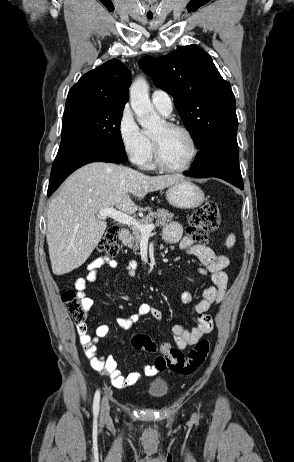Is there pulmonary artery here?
<instances>
[{
  "label": "pulmonary artery",
  "instance_id": "e3ab8cb5",
  "mask_svg": "<svg viewBox=\"0 0 294 462\" xmlns=\"http://www.w3.org/2000/svg\"><path fill=\"white\" fill-rule=\"evenodd\" d=\"M154 107L164 115H169L173 110V102L170 95L163 90H155L151 95Z\"/></svg>",
  "mask_w": 294,
  "mask_h": 462
}]
</instances>
